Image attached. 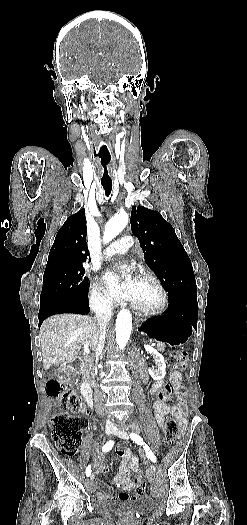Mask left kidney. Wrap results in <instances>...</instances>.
Segmentation results:
<instances>
[{
	"label": "left kidney",
	"instance_id": "1",
	"mask_svg": "<svg viewBox=\"0 0 247 525\" xmlns=\"http://www.w3.org/2000/svg\"><path fill=\"white\" fill-rule=\"evenodd\" d=\"M146 351H148V353H150V355H153V359L154 361H156V369L155 371H151V375H165V369H166V365L164 363V357L163 355H160V353H158V351H156V349H153V347H150V345H144Z\"/></svg>",
	"mask_w": 247,
	"mask_h": 525
}]
</instances>
